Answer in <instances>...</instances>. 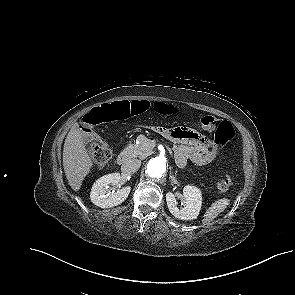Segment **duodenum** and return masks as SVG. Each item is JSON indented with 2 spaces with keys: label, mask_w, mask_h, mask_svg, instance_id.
Instances as JSON below:
<instances>
[{
  "label": "duodenum",
  "mask_w": 295,
  "mask_h": 295,
  "mask_svg": "<svg viewBox=\"0 0 295 295\" xmlns=\"http://www.w3.org/2000/svg\"><path fill=\"white\" fill-rule=\"evenodd\" d=\"M130 159V151L127 148H124L117 157V163L122 165L128 162Z\"/></svg>",
  "instance_id": "1"
}]
</instances>
